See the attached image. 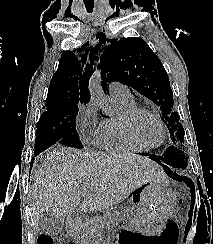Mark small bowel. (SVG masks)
<instances>
[{"instance_id":"1","label":"small bowel","mask_w":213,"mask_h":244,"mask_svg":"<svg viewBox=\"0 0 213 244\" xmlns=\"http://www.w3.org/2000/svg\"><path fill=\"white\" fill-rule=\"evenodd\" d=\"M116 244H124L122 241H118Z\"/></svg>"}]
</instances>
